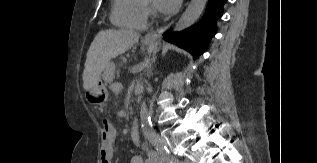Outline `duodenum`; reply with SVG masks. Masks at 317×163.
I'll use <instances>...</instances> for the list:
<instances>
[{
    "mask_svg": "<svg viewBox=\"0 0 317 163\" xmlns=\"http://www.w3.org/2000/svg\"><path fill=\"white\" fill-rule=\"evenodd\" d=\"M130 134H131V139L134 143L138 144L141 142V133H140L139 126L136 122H133Z\"/></svg>",
    "mask_w": 317,
    "mask_h": 163,
    "instance_id": "1",
    "label": "duodenum"
}]
</instances>
